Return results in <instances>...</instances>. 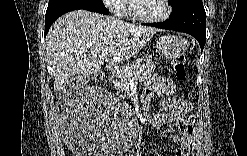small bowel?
<instances>
[{
  "instance_id": "c3829d8e",
  "label": "small bowel",
  "mask_w": 247,
  "mask_h": 156,
  "mask_svg": "<svg viewBox=\"0 0 247 156\" xmlns=\"http://www.w3.org/2000/svg\"><path fill=\"white\" fill-rule=\"evenodd\" d=\"M176 85L165 77L156 79L153 86L148 87L143 94L144 103L149 102L155 95L163 98H170V103H162L161 112L152 118L156 125L175 124L178 133L174 139L176 147L173 154L177 156L189 155L191 142L194 133V126L190 116L192 104L174 96Z\"/></svg>"
}]
</instances>
